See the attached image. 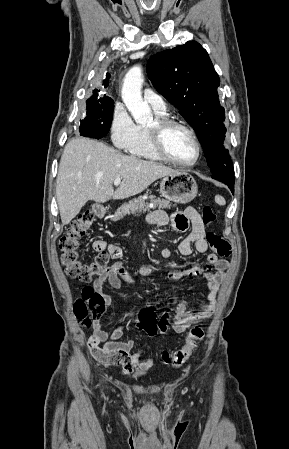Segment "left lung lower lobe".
I'll return each mask as SVG.
<instances>
[{
    "label": "left lung lower lobe",
    "instance_id": "obj_1",
    "mask_svg": "<svg viewBox=\"0 0 289 449\" xmlns=\"http://www.w3.org/2000/svg\"><path fill=\"white\" fill-rule=\"evenodd\" d=\"M221 182L225 183L230 188L232 193H234V180L233 181L227 180V181H221Z\"/></svg>",
    "mask_w": 289,
    "mask_h": 449
}]
</instances>
